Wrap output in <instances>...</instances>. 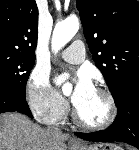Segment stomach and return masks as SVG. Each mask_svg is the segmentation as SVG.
Instances as JSON below:
<instances>
[{
	"label": "stomach",
	"mask_w": 139,
	"mask_h": 150,
	"mask_svg": "<svg viewBox=\"0 0 139 150\" xmlns=\"http://www.w3.org/2000/svg\"><path fill=\"white\" fill-rule=\"evenodd\" d=\"M72 150H121V148L113 144L100 143L91 146H81V147H77L73 145Z\"/></svg>",
	"instance_id": "0dacf381"
}]
</instances>
